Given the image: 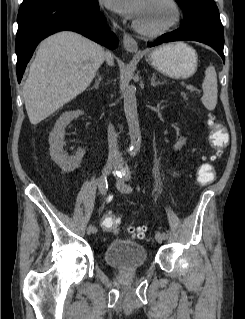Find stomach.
I'll use <instances>...</instances> for the list:
<instances>
[{
    "mask_svg": "<svg viewBox=\"0 0 245 319\" xmlns=\"http://www.w3.org/2000/svg\"><path fill=\"white\" fill-rule=\"evenodd\" d=\"M145 59L161 73L175 79H186L197 70V53L184 42L170 43L147 51Z\"/></svg>",
    "mask_w": 245,
    "mask_h": 319,
    "instance_id": "stomach-1",
    "label": "stomach"
}]
</instances>
